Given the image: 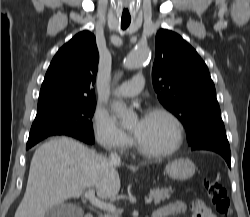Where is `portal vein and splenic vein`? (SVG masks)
I'll return each mask as SVG.
<instances>
[{"instance_id": "portal-vein-and-splenic-vein-1", "label": "portal vein and splenic vein", "mask_w": 250, "mask_h": 217, "mask_svg": "<svg viewBox=\"0 0 250 217\" xmlns=\"http://www.w3.org/2000/svg\"><path fill=\"white\" fill-rule=\"evenodd\" d=\"M85 198L95 207L106 210L111 213L116 212V207L113 204L106 203L104 201H101L100 199L95 197V190L90 188L88 191L85 192L84 194ZM153 201V198H146L145 203L146 204H151Z\"/></svg>"}]
</instances>
